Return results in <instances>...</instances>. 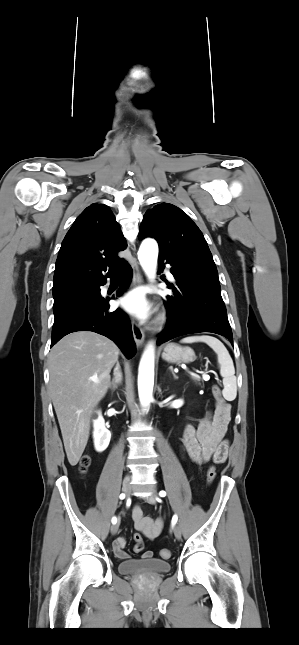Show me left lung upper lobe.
<instances>
[{
	"instance_id": "obj_1",
	"label": "left lung upper lobe",
	"mask_w": 299,
	"mask_h": 645,
	"mask_svg": "<svg viewBox=\"0 0 299 645\" xmlns=\"http://www.w3.org/2000/svg\"><path fill=\"white\" fill-rule=\"evenodd\" d=\"M146 237L159 243V258H181L216 268L202 232L175 205L161 203L147 210L140 225L139 239Z\"/></svg>"
}]
</instances>
